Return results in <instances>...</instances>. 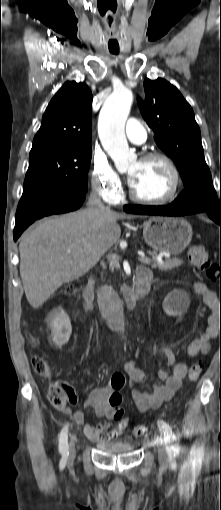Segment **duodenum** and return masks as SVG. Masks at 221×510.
<instances>
[{
    "mask_svg": "<svg viewBox=\"0 0 221 510\" xmlns=\"http://www.w3.org/2000/svg\"><path fill=\"white\" fill-rule=\"evenodd\" d=\"M95 282L94 276H91L89 283L84 291L85 308L92 310L95 300ZM151 287V274L145 268H138L133 282L126 287L123 295L125 307L132 309L136 307L138 301L150 290Z\"/></svg>",
    "mask_w": 221,
    "mask_h": 510,
    "instance_id": "duodenum-1",
    "label": "duodenum"
}]
</instances>
